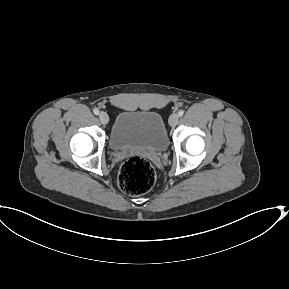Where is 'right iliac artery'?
<instances>
[{
    "label": "right iliac artery",
    "instance_id": "1",
    "mask_svg": "<svg viewBox=\"0 0 289 289\" xmlns=\"http://www.w3.org/2000/svg\"><path fill=\"white\" fill-rule=\"evenodd\" d=\"M93 113H94L95 115H98V114H99V110H98L97 108H95V109L93 110Z\"/></svg>",
    "mask_w": 289,
    "mask_h": 289
}]
</instances>
